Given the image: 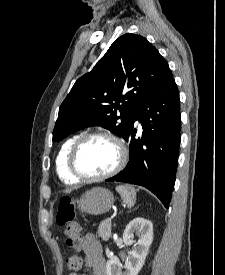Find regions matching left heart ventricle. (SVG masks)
Instances as JSON below:
<instances>
[{
    "label": "left heart ventricle",
    "instance_id": "b2bd125f",
    "mask_svg": "<svg viewBox=\"0 0 225 275\" xmlns=\"http://www.w3.org/2000/svg\"><path fill=\"white\" fill-rule=\"evenodd\" d=\"M118 161V148L110 140L94 138L87 141L77 156V168L85 175H101L111 171Z\"/></svg>",
    "mask_w": 225,
    "mask_h": 275
}]
</instances>
